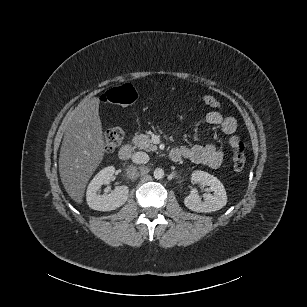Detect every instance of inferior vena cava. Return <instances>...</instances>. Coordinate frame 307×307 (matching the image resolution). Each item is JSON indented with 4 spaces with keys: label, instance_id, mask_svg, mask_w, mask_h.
I'll use <instances>...</instances> for the list:
<instances>
[{
    "label": "inferior vena cava",
    "instance_id": "inferior-vena-cava-1",
    "mask_svg": "<svg viewBox=\"0 0 307 307\" xmlns=\"http://www.w3.org/2000/svg\"><path fill=\"white\" fill-rule=\"evenodd\" d=\"M132 161L135 164H146L149 162V156L144 152H136L132 155Z\"/></svg>",
    "mask_w": 307,
    "mask_h": 307
}]
</instances>
